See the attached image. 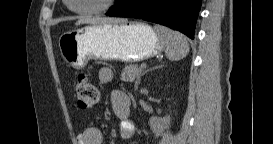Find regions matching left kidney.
I'll return each instance as SVG.
<instances>
[{"instance_id":"left-kidney-1","label":"left kidney","mask_w":273,"mask_h":144,"mask_svg":"<svg viewBox=\"0 0 273 144\" xmlns=\"http://www.w3.org/2000/svg\"><path fill=\"white\" fill-rule=\"evenodd\" d=\"M171 122V118L169 115L159 119V118H151L150 119V126L153 130V132L157 135H159L164 129L169 127Z\"/></svg>"}]
</instances>
